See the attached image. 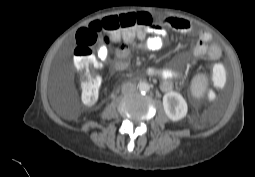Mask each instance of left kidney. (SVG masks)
Returning <instances> with one entry per match:
<instances>
[{"label": "left kidney", "mask_w": 255, "mask_h": 177, "mask_svg": "<svg viewBox=\"0 0 255 177\" xmlns=\"http://www.w3.org/2000/svg\"><path fill=\"white\" fill-rule=\"evenodd\" d=\"M163 107L166 115L172 121L183 119L187 114V103L181 94L171 91L163 96Z\"/></svg>", "instance_id": "left-kidney-1"}]
</instances>
